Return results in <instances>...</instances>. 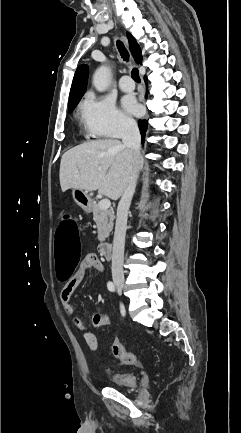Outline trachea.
Segmentation results:
<instances>
[{
    "label": "trachea",
    "instance_id": "1",
    "mask_svg": "<svg viewBox=\"0 0 241 433\" xmlns=\"http://www.w3.org/2000/svg\"><path fill=\"white\" fill-rule=\"evenodd\" d=\"M117 48L120 52L121 57L125 60L128 61L129 59V53L126 50V48L124 47L123 43L121 41H117ZM131 77L136 81V82H140V76H139V72L137 68H133V70L131 71Z\"/></svg>",
    "mask_w": 241,
    "mask_h": 433
}]
</instances>
